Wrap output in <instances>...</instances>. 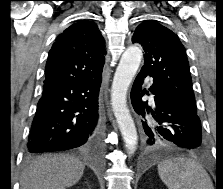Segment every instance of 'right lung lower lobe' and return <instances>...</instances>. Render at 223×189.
Returning <instances> with one entry per match:
<instances>
[{"instance_id": "1", "label": "right lung lower lobe", "mask_w": 223, "mask_h": 189, "mask_svg": "<svg viewBox=\"0 0 223 189\" xmlns=\"http://www.w3.org/2000/svg\"><path fill=\"white\" fill-rule=\"evenodd\" d=\"M101 80L99 74L84 80L44 84L27 153L97 146L102 131L98 108Z\"/></svg>"}]
</instances>
